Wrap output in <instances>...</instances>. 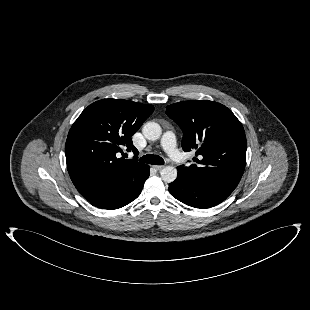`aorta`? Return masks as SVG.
I'll return each instance as SVG.
<instances>
[{
	"label": "aorta",
	"mask_w": 310,
	"mask_h": 310,
	"mask_svg": "<svg viewBox=\"0 0 310 310\" xmlns=\"http://www.w3.org/2000/svg\"><path fill=\"white\" fill-rule=\"evenodd\" d=\"M145 138L155 141L160 138L162 129L156 122H147L142 129ZM161 178L166 183H171L177 178V169L173 166H166L161 170Z\"/></svg>",
	"instance_id": "1"
}]
</instances>
